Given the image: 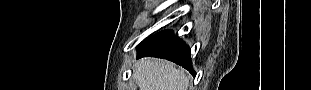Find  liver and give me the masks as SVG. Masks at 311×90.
Segmentation results:
<instances>
[{
  "instance_id": "liver-1",
  "label": "liver",
  "mask_w": 311,
  "mask_h": 90,
  "mask_svg": "<svg viewBox=\"0 0 311 90\" xmlns=\"http://www.w3.org/2000/svg\"><path fill=\"white\" fill-rule=\"evenodd\" d=\"M134 78L140 90H187L189 86L183 70L171 62L152 58L137 62Z\"/></svg>"
}]
</instances>
